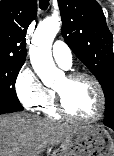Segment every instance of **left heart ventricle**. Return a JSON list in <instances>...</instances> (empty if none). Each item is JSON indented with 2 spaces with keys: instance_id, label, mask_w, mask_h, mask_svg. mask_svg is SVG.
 Here are the masks:
<instances>
[{
  "instance_id": "left-heart-ventricle-1",
  "label": "left heart ventricle",
  "mask_w": 114,
  "mask_h": 156,
  "mask_svg": "<svg viewBox=\"0 0 114 156\" xmlns=\"http://www.w3.org/2000/svg\"><path fill=\"white\" fill-rule=\"evenodd\" d=\"M55 89L62 93L65 107L72 115L79 118H90L97 113L98 94L90 80L80 78L68 81L64 77Z\"/></svg>"
}]
</instances>
